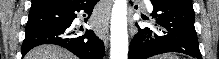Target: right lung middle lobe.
<instances>
[{"label": "right lung middle lobe", "instance_id": "dd1d6c3e", "mask_svg": "<svg viewBox=\"0 0 219 59\" xmlns=\"http://www.w3.org/2000/svg\"><path fill=\"white\" fill-rule=\"evenodd\" d=\"M32 10V9H31ZM29 13V19L26 25V30L41 26L49 23L56 22L58 20V13L53 11H47V12H36V13Z\"/></svg>", "mask_w": 219, "mask_h": 59}]
</instances>
